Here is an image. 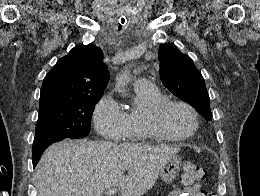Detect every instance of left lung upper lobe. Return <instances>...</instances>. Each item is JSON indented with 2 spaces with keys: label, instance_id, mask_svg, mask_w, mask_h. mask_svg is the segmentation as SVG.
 <instances>
[{
  "label": "left lung upper lobe",
  "instance_id": "1",
  "mask_svg": "<svg viewBox=\"0 0 260 196\" xmlns=\"http://www.w3.org/2000/svg\"><path fill=\"white\" fill-rule=\"evenodd\" d=\"M159 59L163 85L175 96L189 103L207 121H211L210 101L205 82L192 60L169 44L160 45Z\"/></svg>",
  "mask_w": 260,
  "mask_h": 196
}]
</instances>
